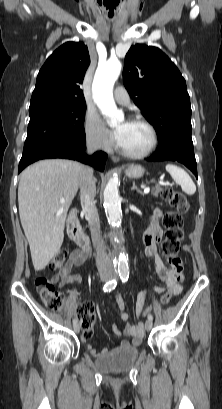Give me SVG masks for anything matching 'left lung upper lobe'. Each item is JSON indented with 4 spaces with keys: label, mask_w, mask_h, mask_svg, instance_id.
I'll return each instance as SVG.
<instances>
[{
    "label": "left lung upper lobe",
    "mask_w": 222,
    "mask_h": 409,
    "mask_svg": "<svg viewBox=\"0 0 222 409\" xmlns=\"http://www.w3.org/2000/svg\"><path fill=\"white\" fill-rule=\"evenodd\" d=\"M124 85L159 142L170 136L191 137V107L185 79L158 48L135 45L125 57Z\"/></svg>",
    "instance_id": "1"
}]
</instances>
